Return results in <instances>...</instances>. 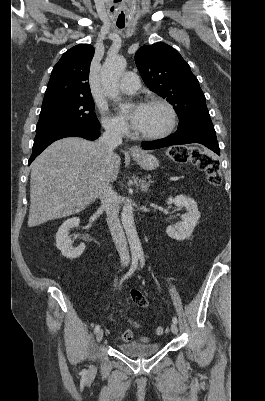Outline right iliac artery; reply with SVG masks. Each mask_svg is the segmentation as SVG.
I'll use <instances>...</instances> for the list:
<instances>
[{"instance_id":"1","label":"right iliac artery","mask_w":265,"mask_h":401,"mask_svg":"<svg viewBox=\"0 0 265 401\" xmlns=\"http://www.w3.org/2000/svg\"><path fill=\"white\" fill-rule=\"evenodd\" d=\"M137 264H138V258H137L136 256L132 257V264H131V267H130L129 271L121 278V280H120L121 282L124 281V280H126V279H128V278L134 273V271H135L136 268H137ZM99 329H100V325L98 324V325H96L95 328H94V333H97V331H98ZM82 374H83V375L86 374V370H85V369L82 371Z\"/></svg>"}]
</instances>
